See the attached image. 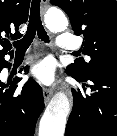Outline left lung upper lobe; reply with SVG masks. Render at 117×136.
I'll list each match as a JSON object with an SVG mask.
<instances>
[{
    "label": "left lung upper lobe",
    "mask_w": 117,
    "mask_h": 136,
    "mask_svg": "<svg viewBox=\"0 0 117 136\" xmlns=\"http://www.w3.org/2000/svg\"><path fill=\"white\" fill-rule=\"evenodd\" d=\"M70 18L75 35H83V53L89 62L76 60L67 69L85 79L100 67H117V2L116 0H50Z\"/></svg>",
    "instance_id": "left-lung-upper-lobe-1"
}]
</instances>
